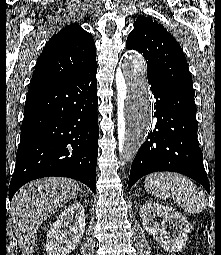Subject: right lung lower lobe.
<instances>
[{
    "label": "right lung lower lobe",
    "instance_id": "1",
    "mask_svg": "<svg viewBox=\"0 0 221 255\" xmlns=\"http://www.w3.org/2000/svg\"><path fill=\"white\" fill-rule=\"evenodd\" d=\"M97 64L67 80L30 89L9 199L27 182L70 177L96 192Z\"/></svg>",
    "mask_w": 221,
    "mask_h": 255
}]
</instances>
